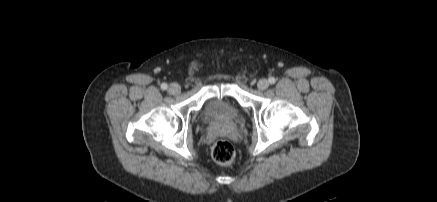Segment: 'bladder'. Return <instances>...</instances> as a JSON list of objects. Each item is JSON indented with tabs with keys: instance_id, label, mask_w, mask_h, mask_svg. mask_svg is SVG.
Returning <instances> with one entry per match:
<instances>
[{
	"instance_id": "bladder-1",
	"label": "bladder",
	"mask_w": 437,
	"mask_h": 202,
	"mask_svg": "<svg viewBox=\"0 0 437 202\" xmlns=\"http://www.w3.org/2000/svg\"><path fill=\"white\" fill-rule=\"evenodd\" d=\"M240 109L221 100H210L204 109V118L207 121H233L239 118Z\"/></svg>"
}]
</instances>
